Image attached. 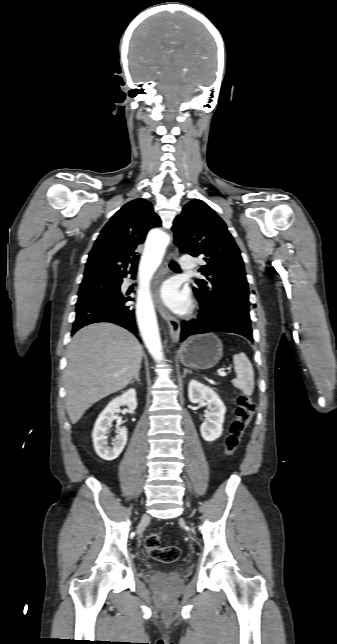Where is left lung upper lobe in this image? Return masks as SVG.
Listing matches in <instances>:
<instances>
[{"label":"left lung upper lobe","instance_id":"obj_1","mask_svg":"<svg viewBox=\"0 0 337 644\" xmlns=\"http://www.w3.org/2000/svg\"><path fill=\"white\" fill-rule=\"evenodd\" d=\"M180 252L204 256L193 291L204 309L221 310L251 326L249 290L240 250L224 221L202 200L188 202L172 227Z\"/></svg>","mask_w":337,"mask_h":644}]
</instances>
